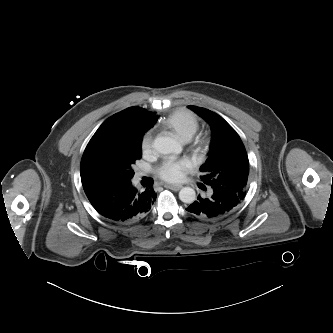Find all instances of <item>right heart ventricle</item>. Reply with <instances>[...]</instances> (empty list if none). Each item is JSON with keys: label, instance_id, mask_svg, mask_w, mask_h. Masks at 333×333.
Segmentation results:
<instances>
[{"label": "right heart ventricle", "instance_id": "e07e8e85", "mask_svg": "<svg viewBox=\"0 0 333 333\" xmlns=\"http://www.w3.org/2000/svg\"><path fill=\"white\" fill-rule=\"evenodd\" d=\"M161 123L181 141L190 140L199 127L196 116L186 110H177L171 113Z\"/></svg>", "mask_w": 333, "mask_h": 333}]
</instances>
